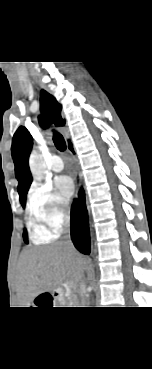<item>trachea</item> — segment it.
<instances>
[{
    "mask_svg": "<svg viewBox=\"0 0 152 369\" xmlns=\"http://www.w3.org/2000/svg\"><path fill=\"white\" fill-rule=\"evenodd\" d=\"M53 141H54V144H55L56 148L59 151H64L66 149V143H65V140H64V138L61 134H59L57 132L54 133Z\"/></svg>",
    "mask_w": 152,
    "mask_h": 369,
    "instance_id": "3493384b",
    "label": "trachea"
}]
</instances>
